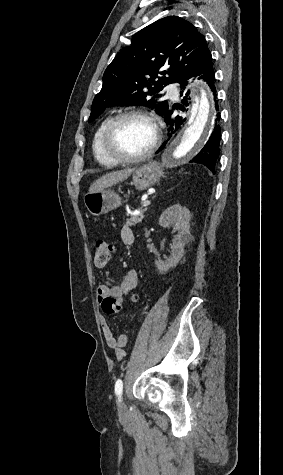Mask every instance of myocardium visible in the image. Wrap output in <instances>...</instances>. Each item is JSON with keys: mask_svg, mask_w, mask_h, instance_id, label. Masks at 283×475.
<instances>
[{"mask_svg": "<svg viewBox=\"0 0 283 475\" xmlns=\"http://www.w3.org/2000/svg\"><path fill=\"white\" fill-rule=\"evenodd\" d=\"M130 117H141V118L149 120L152 123L155 129V138H154L153 144L146 153L138 157H134V158L113 157L109 154L108 147L112 141L114 131L117 125L122 120L126 118H130ZM160 144H161V126H160V121L157 114H155L154 112H147V111H142V110H132V111H126V112L120 113L119 115L115 116L111 120V122L108 124L102 136L101 149H102V152L106 155L107 162H135V165H139L146 162L150 158H152L153 155L158 150Z\"/></svg>", "mask_w": 283, "mask_h": 475, "instance_id": "obj_1", "label": "myocardium"}]
</instances>
